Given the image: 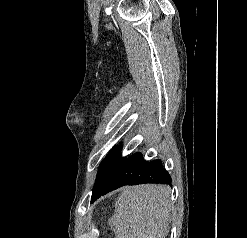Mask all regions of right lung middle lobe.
Instances as JSON below:
<instances>
[{"label": "right lung middle lobe", "instance_id": "dd1d6c3e", "mask_svg": "<svg viewBox=\"0 0 247 238\" xmlns=\"http://www.w3.org/2000/svg\"><path fill=\"white\" fill-rule=\"evenodd\" d=\"M120 149L115 147L102 161L96 183L93 189L92 199L96 198L107 186L119 163L123 159L119 154Z\"/></svg>", "mask_w": 247, "mask_h": 238}]
</instances>
